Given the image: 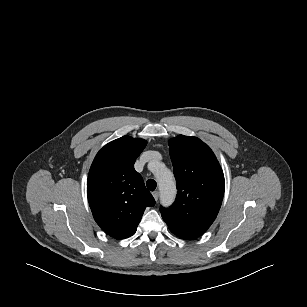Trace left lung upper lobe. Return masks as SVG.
<instances>
[{
    "instance_id": "5c2ea615",
    "label": "left lung upper lobe",
    "mask_w": 307,
    "mask_h": 307,
    "mask_svg": "<svg viewBox=\"0 0 307 307\" xmlns=\"http://www.w3.org/2000/svg\"><path fill=\"white\" fill-rule=\"evenodd\" d=\"M169 153L178 192L172 206L160 207V211L172 233L193 240L210 227L219 212L223 171L209 146L196 137L172 138Z\"/></svg>"
}]
</instances>
